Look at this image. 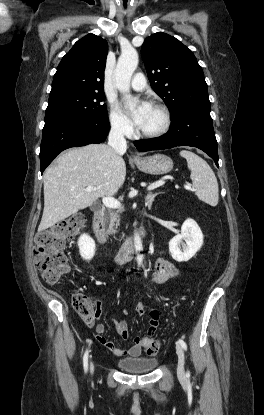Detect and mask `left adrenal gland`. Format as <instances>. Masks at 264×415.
<instances>
[{"mask_svg": "<svg viewBox=\"0 0 264 415\" xmlns=\"http://www.w3.org/2000/svg\"><path fill=\"white\" fill-rule=\"evenodd\" d=\"M160 193H161V192H158V193H152V192H149V193L147 194V196L145 197L146 205L148 206V209H149V210H151L152 203H153V201H154L155 197H156L158 194H160Z\"/></svg>", "mask_w": 264, "mask_h": 415, "instance_id": "a2214340", "label": "left adrenal gland"}]
</instances>
